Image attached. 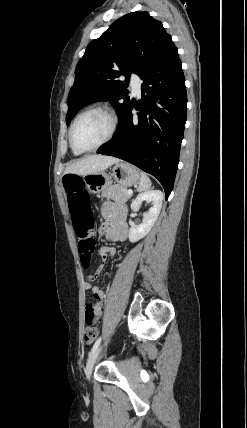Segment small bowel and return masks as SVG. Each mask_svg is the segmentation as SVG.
<instances>
[{"mask_svg": "<svg viewBox=\"0 0 247 428\" xmlns=\"http://www.w3.org/2000/svg\"><path fill=\"white\" fill-rule=\"evenodd\" d=\"M102 214L106 219V224L104 229L108 236L117 242L126 241L129 234L128 226L125 222L126 209L123 206H117L112 203H105L102 207ZM115 255V249L108 246H103L98 251V256L100 259L105 261L109 257ZM102 269V266L99 267L98 271ZM84 288L92 293L94 298L102 300L105 298V293L97 285L86 282ZM87 306V305H86ZM85 320L86 317H85Z\"/></svg>", "mask_w": 247, "mask_h": 428, "instance_id": "1", "label": "small bowel"}]
</instances>
